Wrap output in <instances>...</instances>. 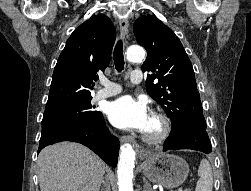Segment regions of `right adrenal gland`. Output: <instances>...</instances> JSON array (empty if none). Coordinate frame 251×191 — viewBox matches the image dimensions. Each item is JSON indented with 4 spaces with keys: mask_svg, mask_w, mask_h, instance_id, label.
Listing matches in <instances>:
<instances>
[{
    "mask_svg": "<svg viewBox=\"0 0 251 191\" xmlns=\"http://www.w3.org/2000/svg\"><path fill=\"white\" fill-rule=\"evenodd\" d=\"M105 185H108L107 181H105Z\"/></svg>",
    "mask_w": 251,
    "mask_h": 191,
    "instance_id": "obj_1",
    "label": "right adrenal gland"
}]
</instances>
